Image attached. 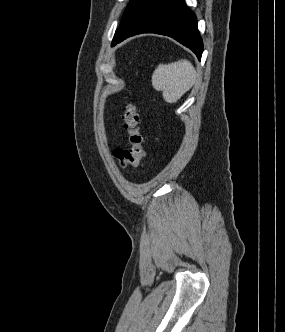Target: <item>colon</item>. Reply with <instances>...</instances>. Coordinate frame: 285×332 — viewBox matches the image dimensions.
<instances>
[{"instance_id": "colon-1", "label": "colon", "mask_w": 285, "mask_h": 332, "mask_svg": "<svg viewBox=\"0 0 285 332\" xmlns=\"http://www.w3.org/2000/svg\"><path fill=\"white\" fill-rule=\"evenodd\" d=\"M121 119L127 131V142L124 148H115L113 155L121 167H137L145 156L144 138L140 130V116L137 106L126 101Z\"/></svg>"}]
</instances>
